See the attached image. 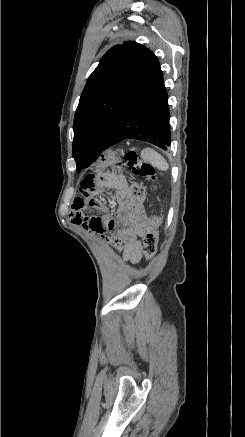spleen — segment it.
Here are the masks:
<instances>
[{
	"instance_id": "spleen-1",
	"label": "spleen",
	"mask_w": 245,
	"mask_h": 437,
	"mask_svg": "<svg viewBox=\"0 0 245 437\" xmlns=\"http://www.w3.org/2000/svg\"><path fill=\"white\" fill-rule=\"evenodd\" d=\"M141 157L159 170L167 171L169 168V164L167 163L165 158L152 148H144L141 151Z\"/></svg>"
}]
</instances>
